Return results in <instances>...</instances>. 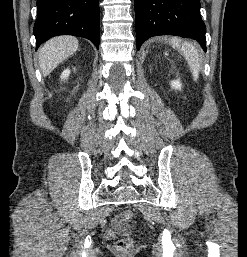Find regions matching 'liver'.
Here are the masks:
<instances>
[{
	"mask_svg": "<svg viewBox=\"0 0 247 257\" xmlns=\"http://www.w3.org/2000/svg\"><path fill=\"white\" fill-rule=\"evenodd\" d=\"M78 40L72 36H59L48 40L39 52L42 75H49L61 62L78 49Z\"/></svg>",
	"mask_w": 247,
	"mask_h": 257,
	"instance_id": "liver-1",
	"label": "liver"
}]
</instances>
